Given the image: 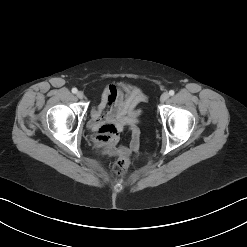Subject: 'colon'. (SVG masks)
<instances>
[{"label": "colon", "mask_w": 247, "mask_h": 247, "mask_svg": "<svg viewBox=\"0 0 247 247\" xmlns=\"http://www.w3.org/2000/svg\"><path fill=\"white\" fill-rule=\"evenodd\" d=\"M129 167V159L127 157H120L113 165V171L117 175H124Z\"/></svg>", "instance_id": "5ec220e1"}]
</instances>
